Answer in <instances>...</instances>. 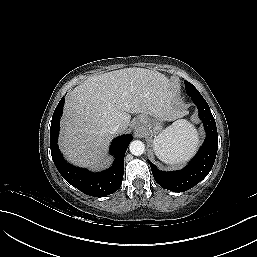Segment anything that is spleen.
<instances>
[{"label":"spleen","instance_id":"obj_1","mask_svg":"<svg viewBox=\"0 0 257 257\" xmlns=\"http://www.w3.org/2000/svg\"><path fill=\"white\" fill-rule=\"evenodd\" d=\"M198 144L196 129L185 119L175 121L153 140L155 154L166 164L187 161L195 153Z\"/></svg>","mask_w":257,"mask_h":257}]
</instances>
